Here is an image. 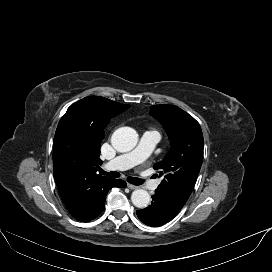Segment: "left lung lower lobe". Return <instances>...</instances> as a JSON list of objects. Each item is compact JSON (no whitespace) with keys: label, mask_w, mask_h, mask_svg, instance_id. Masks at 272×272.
<instances>
[{"label":"left lung lower lobe","mask_w":272,"mask_h":272,"mask_svg":"<svg viewBox=\"0 0 272 272\" xmlns=\"http://www.w3.org/2000/svg\"><path fill=\"white\" fill-rule=\"evenodd\" d=\"M151 205L142 210H137V216L148 226H161L172 220L182 207L171 202L164 196L155 192Z\"/></svg>","instance_id":"left-lung-lower-lobe-1"}]
</instances>
